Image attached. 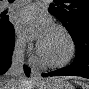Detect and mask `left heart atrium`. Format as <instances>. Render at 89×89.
<instances>
[{
	"label": "left heart atrium",
	"mask_w": 89,
	"mask_h": 89,
	"mask_svg": "<svg viewBox=\"0 0 89 89\" xmlns=\"http://www.w3.org/2000/svg\"><path fill=\"white\" fill-rule=\"evenodd\" d=\"M15 27L18 33L28 40L43 42L54 28L50 16L36 5L20 9L15 17Z\"/></svg>",
	"instance_id": "obj_1"
}]
</instances>
